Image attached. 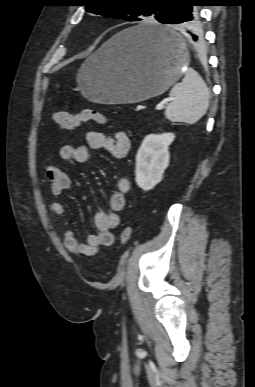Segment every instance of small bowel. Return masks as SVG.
I'll return each mask as SVG.
<instances>
[{"label": "small bowel", "mask_w": 255, "mask_h": 387, "mask_svg": "<svg viewBox=\"0 0 255 387\" xmlns=\"http://www.w3.org/2000/svg\"><path fill=\"white\" fill-rule=\"evenodd\" d=\"M86 143L81 146L66 144L59 149V158L64 161L84 163L90 158L92 150L104 149L116 159L126 157L131 148V142L124 131H117L113 137H109L98 131H88L85 136ZM45 175L50 183L53 196L59 197L71 188L70 176L57 165H48ZM131 190V182L127 177H120L116 181V191L109 198V210L97 211L94 215L96 234L89 235L85 242L77 239L71 229H66L63 241L66 249L79 256H94L101 247L111 246L114 242L113 230L119 226V213L126 205L125 195ZM53 215L65 220V206L60 201H54L50 205Z\"/></svg>", "instance_id": "c3829d8e"}]
</instances>
